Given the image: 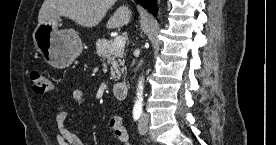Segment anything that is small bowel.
Returning a JSON list of instances; mask_svg holds the SVG:
<instances>
[{
  "label": "small bowel",
  "instance_id": "obj_1",
  "mask_svg": "<svg viewBox=\"0 0 276 145\" xmlns=\"http://www.w3.org/2000/svg\"><path fill=\"white\" fill-rule=\"evenodd\" d=\"M73 99L77 104H82L87 100V94L82 89L73 91ZM56 120V140L59 145H84L78 135L70 129L73 124L72 119L67 118V104L59 103L55 109ZM109 126L112 129L115 137L121 145H131L129 135L123 125V120L120 116H113L109 120Z\"/></svg>",
  "mask_w": 276,
  "mask_h": 145
}]
</instances>
